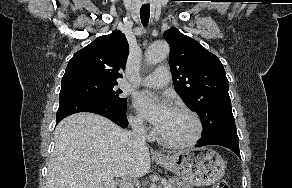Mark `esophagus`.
<instances>
[{
	"instance_id": "1",
	"label": "esophagus",
	"mask_w": 292,
	"mask_h": 188,
	"mask_svg": "<svg viewBox=\"0 0 292 188\" xmlns=\"http://www.w3.org/2000/svg\"><path fill=\"white\" fill-rule=\"evenodd\" d=\"M154 155L157 156V157H161L162 156V154L158 153V152H155Z\"/></svg>"
}]
</instances>
